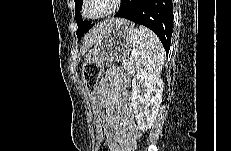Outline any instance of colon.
Segmentation results:
<instances>
[{
	"label": "colon",
	"instance_id": "obj_1",
	"mask_svg": "<svg viewBox=\"0 0 231 151\" xmlns=\"http://www.w3.org/2000/svg\"><path fill=\"white\" fill-rule=\"evenodd\" d=\"M103 66L97 62H87L82 72V80L92 102L93 115L97 130L96 151H111L109 145V128L104 117V111L96 96V88Z\"/></svg>",
	"mask_w": 231,
	"mask_h": 151
}]
</instances>
